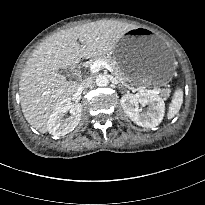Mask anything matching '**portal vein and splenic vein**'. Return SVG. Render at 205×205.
<instances>
[{
    "label": "portal vein and splenic vein",
    "mask_w": 205,
    "mask_h": 205,
    "mask_svg": "<svg viewBox=\"0 0 205 205\" xmlns=\"http://www.w3.org/2000/svg\"><path fill=\"white\" fill-rule=\"evenodd\" d=\"M102 67L108 69L111 73H113L111 66L104 60H96L90 64V70L93 73L100 71ZM151 92L157 94L159 93V90L152 89Z\"/></svg>",
    "instance_id": "1"
}]
</instances>
